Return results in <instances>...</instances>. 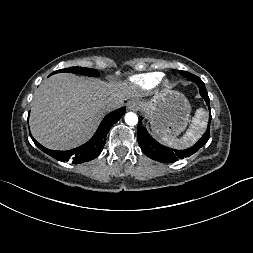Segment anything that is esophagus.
Returning <instances> with one entry per match:
<instances>
[{
    "label": "esophagus",
    "instance_id": "esophagus-1",
    "mask_svg": "<svg viewBox=\"0 0 253 253\" xmlns=\"http://www.w3.org/2000/svg\"><path fill=\"white\" fill-rule=\"evenodd\" d=\"M139 106H140V104H139V102L137 100H132V101H130L128 103V109L130 111H136V110H138Z\"/></svg>",
    "mask_w": 253,
    "mask_h": 253
}]
</instances>
